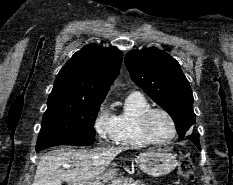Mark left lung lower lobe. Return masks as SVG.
<instances>
[{"instance_id":"obj_1","label":"left lung lower lobe","mask_w":233,"mask_h":185,"mask_svg":"<svg viewBox=\"0 0 233 185\" xmlns=\"http://www.w3.org/2000/svg\"><path fill=\"white\" fill-rule=\"evenodd\" d=\"M188 139H190L196 146L199 150H201L200 148V144H199V139L197 136L195 135H190V136H187Z\"/></svg>"}]
</instances>
